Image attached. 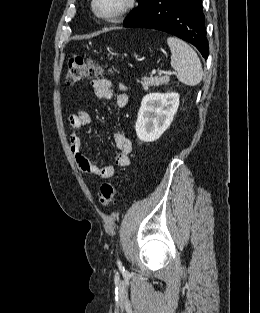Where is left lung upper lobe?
I'll list each match as a JSON object with an SVG mask.
<instances>
[{"label": "left lung upper lobe", "mask_w": 260, "mask_h": 313, "mask_svg": "<svg viewBox=\"0 0 260 313\" xmlns=\"http://www.w3.org/2000/svg\"><path fill=\"white\" fill-rule=\"evenodd\" d=\"M150 0H139L138 8L135 11H132L129 15L126 16L124 21L129 20L130 18L136 16L139 12H141L148 4Z\"/></svg>", "instance_id": "5c2ea615"}]
</instances>
